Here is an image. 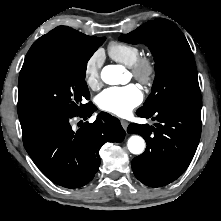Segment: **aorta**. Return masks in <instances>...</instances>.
Listing matches in <instances>:
<instances>
[{
    "label": "aorta",
    "instance_id": "762f6f07",
    "mask_svg": "<svg viewBox=\"0 0 221 221\" xmlns=\"http://www.w3.org/2000/svg\"><path fill=\"white\" fill-rule=\"evenodd\" d=\"M123 71L120 65H107L101 71V78L106 84L116 85L120 83ZM127 147L132 154L139 155L145 149V141L141 136L132 135L128 139Z\"/></svg>",
    "mask_w": 221,
    "mask_h": 221
}]
</instances>
